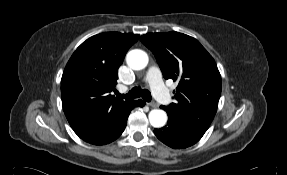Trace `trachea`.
Wrapping results in <instances>:
<instances>
[{
	"instance_id": "trachea-1",
	"label": "trachea",
	"mask_w": 287,
	"mask_h": 175,
	"mask_svg": "<svg viewBox=\"0 0 287 175\" xmlns=\"http://www.w3.org/2000/svg\"><path fill=\"white\" fill-rule=\"evenodd\" d=\"M118 96L121 98H139L142 96V98L147 102H150L152 99L151 93L147 89L142 90L140 87H134L127 94H118Z\"/></svg>"
}]
</instances>
